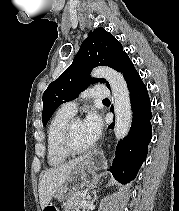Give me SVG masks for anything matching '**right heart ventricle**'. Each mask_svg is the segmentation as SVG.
<instances>
[{"label":"right heart ventricle","instance_id":"obj_1","mask_svg":"<svg viewBox=\"0 0 179 211\" xmlns=\"http://www.w3.org/2000/svg\"><path fill=\"white\" fill-rule=\"evenodd\" d=\"M72 117V114L59 109L48 124L46 132V157L48 164L52 167H58L69 159V155L61 147V137L65 125Z\"/></svg>","mask_w":179,"mask_h":211}]
</instances>
